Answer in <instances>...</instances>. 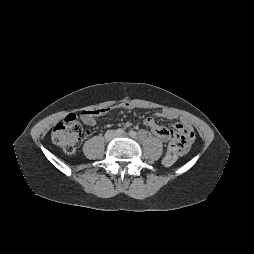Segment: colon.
I'll list each match as a JSON object with an SVG mask.
<instances>
[{
	"instance_id": "obj_1",
	"label": "colon",
	"mask_w": 254,
	"mask_h": 254,
	"mask_svg": "<svg viewBox=\"0 0 254 254\" xmlns=\"http://www.w3.org/2000/svg\"><path fill=\"white\" fill-rule=\"evenodd\" d=\"M99 110L87 111V114L95 115ZM83 135V128L76 115H70L62 122L58 123L52 131V141L62 150L72 155L76 152L77 146ZM181 156L177 143H171L165 156L164 163L166 165L174 164Z\"/></svg>"
}]
</instances>
